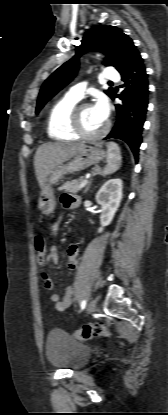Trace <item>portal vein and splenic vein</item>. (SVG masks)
<instances>
[{
  "label": "portal vein and splenic vein",
  "mask_w": 168,
  "mask_h": 415,
  "mask_svg": "<svg viewBox=\"0 0 168 415\" xmlns=\"http://www.w3.org/2000/svg\"><path fill=\"white\" fill-rule=\"evenodd\" d=\"M87 183H88V179H84L80 184V189L86 186Z\"/></svg>",
  "instance_id": "18ae733b"
}]
</instances>
